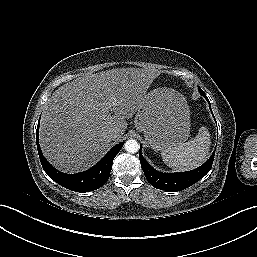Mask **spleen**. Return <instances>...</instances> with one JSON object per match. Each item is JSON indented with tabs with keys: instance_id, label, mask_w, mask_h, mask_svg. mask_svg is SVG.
Listing matches in <instances>:
<instances>
[{
	"instance_id": "spleen-1",
	"label": "spleen",
	"mask_w": 257,
	"mask_h": 257,
	"mask_svg": "<svg viewBox=\"0 0 257 257\" xmlns=\"http://www.w3.org/2000/svg\"><path fill=\"white\" fill-rule=\"evenodd\" d=\"M210 134L206 127H201L195 138L186 143L167 148L161 156L164 163L176 171H188L203 164L210 150Z\"/></svg>"
}]
</instances>
